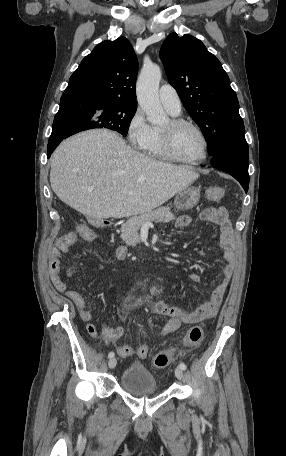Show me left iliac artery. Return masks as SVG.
Wrapping results in <instances>:
<instances>
[{"label":"left iliac artery","mask_w":286,"mask_h":456,"mask_svg":"<svg viewBox=\"0 0 286 456\" xmlns=\"http://www.w3.org/2000/svg\"><path fill=\"white\" fill-rule=\"evenodd\" d=\"M179 367H180L181 369H183V370H186V368H187L186 365H185V363H183V362H181V363L179 364Z\"/></svg>","instance_id":"left-iliac-artery-1"}]
</instances>
